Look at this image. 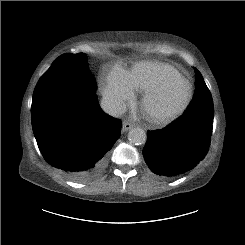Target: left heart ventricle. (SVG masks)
Here are the masks:
<instances>
[{
  "mask_svg": "<svg viewBox=\"0 0 245 245\" xmlns=\"http://www.w3.org/2000/svg\"><path fill=\"white\" fill-rule=\"evenodd\" d=\"M187 92L186 83L178 79L160 98H158L154 107L159 110L170 109L180 104Z\"/></svg>",
  "mask_w": 245,
  "mask_h": 245,
  "instance_id": "1",
  "label": "left heart ventricle"
}]
</instances>
